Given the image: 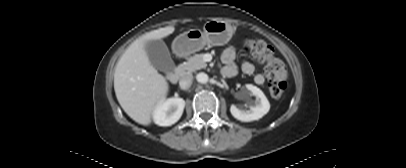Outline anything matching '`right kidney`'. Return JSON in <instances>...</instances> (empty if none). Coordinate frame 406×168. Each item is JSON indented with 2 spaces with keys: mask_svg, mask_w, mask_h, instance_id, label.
<instances>
[{
  "mask_svg": "<svg viewBox=\"0 0 406 168\" xmlns=\"http://www.w3.org/2000/svg\"><path fill=\"white\" fill-rule=\"evenodd\" d=\"M184 107L182 98H169L155 108L153 120L159 126H171L181 118Z\"/></svg>",
  "mask_w": 406,
  "mask_h": 168,
  "instance_id": "obj_1",
  "label": "right kidney"
}]
</instances>
